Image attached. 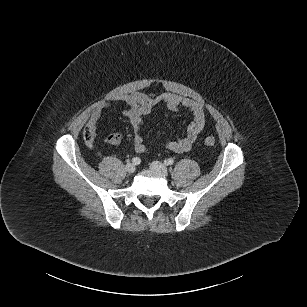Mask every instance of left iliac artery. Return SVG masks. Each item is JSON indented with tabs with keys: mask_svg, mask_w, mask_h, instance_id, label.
I'll list each match as a JSON object with an SVG mask.
<instances>
[{
	"mask_svg": "<svg viewBox=\"0 0 307 307\" xmlns=\"http://www.w3.org/2000/svg\"><path fill=\"white\" fill-rule=\"evenodd\" d=\"M164 163H165L166 165H172V164L174 163V160H173L172 158H168V159H166V160L164 161Z\"/></svg>",
	"mask_w": 307,
	"mask_h": 307,
	"instance_id": "44dca946",
	"label": "left iliac artery"
}]
</instances>
